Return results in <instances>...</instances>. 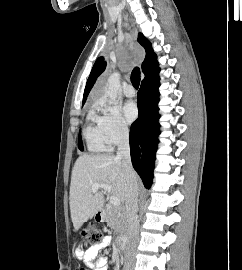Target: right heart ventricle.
<instances>
[{"label":"right heart ventricle","instance_id":"right-heart-ventricle-1","mask_svg":"<svg viewBox=\"0 0 242 270\" xmlns=\"http://www.w3.org/2000/svg\"><path fill=\"white\" fill-rule=\"evenodd\" d=\"M83 136L91 152H103L110 149L102 126L101 115L98 114L96 107L91 108L87 114Z\"/></svg>","mask_w":242,"mask_h":270}]
</instances>
